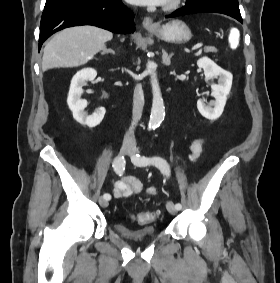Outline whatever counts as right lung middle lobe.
I'll return each instance as SVG.
<instances>
[{"label": "right lung middle lobe", "mask_w": 280, "mask_h": 283, "mask_svg": "<svg viewBox=\"0 0 280 283\" xmlns=\"http://www.w3.org/2000/svg\"><path fill=\"white\" fill-rule=\"evenodd\" d=\"M66 1H74V0H46L45 7L52 6L54 4L60 3V2H66Z\"/></svg>", "instance_id": "right-lung-middle-lobe-1"}]
</instances>
